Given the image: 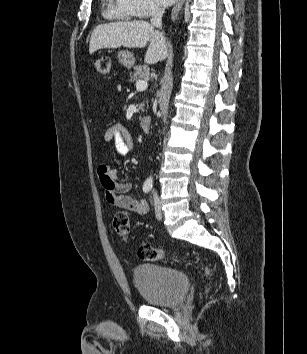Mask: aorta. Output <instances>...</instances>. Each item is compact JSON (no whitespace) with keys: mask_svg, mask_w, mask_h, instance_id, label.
<instances>
[{"mask_svg":"<svg viewBox=\"0 0 307 354\" xmlns=\"http://www.w3.org/2000/svg\"><path fill=\"white\" fill-rule=\"evenodd\" d=\"M152 181H153V179H152V177L150 176V177H148V178H147L146 183L151 184V183H152Z\"/></svg>","mask_w":307,"mask_h":354,"instance_id":"1","label":"aorta"}]
</instances>
